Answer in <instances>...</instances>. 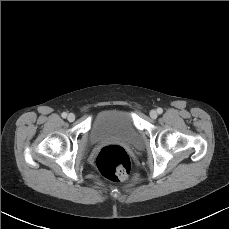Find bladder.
Wrapping results in <instances>:
<instances>
[{
    "label": "bladder",
    "instance_id": "1",
    "mask_svg": "<svg viewBox=\"0 0 229 229\" xmlns=\"http://www.w3.org/2000/svg\"><path fill=\"white\" fill-rule=\"evenodd\" d=\"M91 143L117 140L131 146H139L142 140L132 116L122 110L99 113L90 130Z\"/></svg>",
    "mask_w": 229,
    "mask_h": 229
}]
</instances>
